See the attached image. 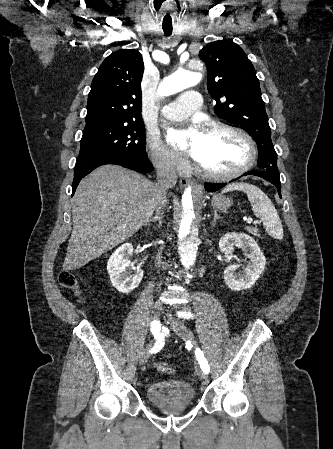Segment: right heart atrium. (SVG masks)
Returning <instances> with one entry per match:
<instances>
[{"label":"right heart atrium","instance_id":"obj_1","mask_svg":"<svg viewBox=\"0 0 333 449\" xmlns=\"http://www.w3.org/2000/svg\"><path fill=\"white\" fill-rule=\"evenodd\" d=\"M147 147L153 165L165 173L181 174L187 162L155 137H148Z\"/></svg>","mask_w":333,"mask_h":449}]
</instances>
